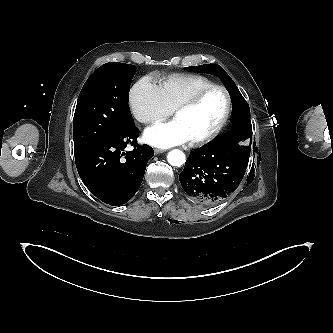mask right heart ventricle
<instances>
[{
  "label": "right heart ventricle",
  "mask_w": 333,
  "mask_h": 333,
  "mask_svg": "<svg viewBox=\"0 0 333 333\" xmlns=\"http://www.w3.org/2000/svg\"><path fill=\"white\" fill-rule=\"evenodd\" d=\"M213 84L209 78L199 74H171L162 78L158 87L166 104L173 111L194 93Z\"/></svg>",
  "instance_id": "right-heart-ventricle-1"
}]
</instances>
